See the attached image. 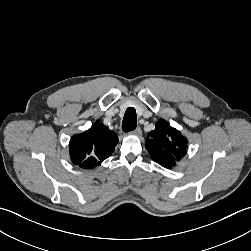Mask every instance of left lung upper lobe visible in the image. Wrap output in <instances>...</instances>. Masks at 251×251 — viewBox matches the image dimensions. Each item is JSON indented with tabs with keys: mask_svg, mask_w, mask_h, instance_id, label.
Masks as SVG:
<instances>
[{
	"mask_svg": "<svg viewBox=\"0 0 251 251\" xmlns=\"http://www.w3.org/2000/svg\"><path fill=\"white\" fill-rule=\"evenodd\" d=\"M151 158L165 168H172L175 162L186 154L187 140L166 120H159L145 142Z\"/></svg>",
	"mask_w": 251,
	"mask_h": 251,
	"instance_id": "1",
	"label": "left lung upper lobe"
}]
</instances>
